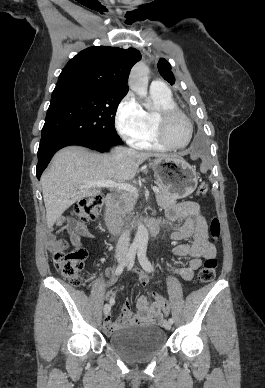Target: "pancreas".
<instances>
[{"instance_id":"cf45deb5","label":"pancreas","mask_w":265,"mask_h":388,"mask_svg":"<svg viewBox=\"0 0 265 388\" xmlns=\"http://www.w3.org/2000/svg\"><path fill=\"white\" fill-rule=\"evenodd\" d=\"M158 190H160V192H156V202L160 208H168V206L176 204L175 194L166 192L164 188H158ZM136 202L137 196H133V194H123L122 198H120L119 202H117L115 208L117 212L125 218L126 214H131Z\"/></svg>"}]
</instances>
